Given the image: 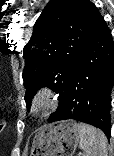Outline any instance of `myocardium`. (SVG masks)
Listing matches in <instances>:
<instances>
[{
  "label": "myocardium",
  "mask_w": 114,
  "mask_h": 156,
  "mask_svg": "<svg viewBox=\"0 0 114 156\" xmlns=\"http://www.w3.org/2000/svg\"><path fill=\"white\" fill-rule=\"evenodd\" d=\"M59 104L58 96L48 86H41L33 95L29 112L37 118H42L52 113Z\"/></svg>",
  "instance_id": "myocardium-1"
}]
</instances>
